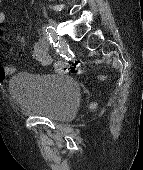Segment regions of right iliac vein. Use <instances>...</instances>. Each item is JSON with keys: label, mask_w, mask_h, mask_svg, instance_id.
<instances>
[{"label": "right iliac vein", "mask_w": 143, "mask_h": 170, "mask_svg": "<svg viewBox=\"0 0 143 170\" xmlns=\"http://www.w3.org/2000/svg\"><path fill=\"white\" fill-rule=\"evenodd\" d=\"M47 17V16H46ZM47 19H48V23L51 25V26H55L56 24H55V22L52 20V19H50L49 17H47Z\"/></svg>", "instance_id": "right-iliac-vein-1"}]
</instances>
